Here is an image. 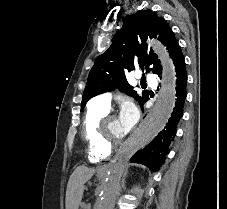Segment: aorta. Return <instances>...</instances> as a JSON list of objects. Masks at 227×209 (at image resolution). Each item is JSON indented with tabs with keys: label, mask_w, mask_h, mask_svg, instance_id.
Instances as JSON below:
<instances>
[{
	"label": "aorta",
	"mask_w": 227,
	"mask_h": 209,
	"mask_svg": "<svg viewBox=\"0 0 227 209\" xmlns=\"http://www.w3.org/2000/svg\"><path fill=\"white\" fill-rule=\"evenodd\" d=\"M161 62L162 80L158 99L135 139L121 148L109 167L99 209H113L124 169L133 154L148 144L166 125L176 101V72L166 48L157 40L148 42Z\"/></svg>",
	"instance_id": "aorta-1"
}]
</instances>
